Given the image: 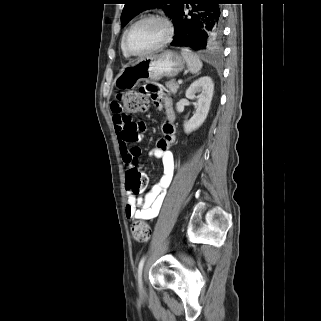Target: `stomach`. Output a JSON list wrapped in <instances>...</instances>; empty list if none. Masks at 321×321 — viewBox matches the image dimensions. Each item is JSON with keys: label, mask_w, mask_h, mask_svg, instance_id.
Here are the masks:
<instances>
[{"label": "stomach", "mask_w": 321, "mask_h": 321, "mask_svg": "<svg viewBox=\"0 0 321 321\" xmlns=\"http://www.w3.org/2000/svg\"><path fill=\"white\" fill-rule=\"evenodd\" d=\"M184 68V58L175 51L167 50L143 57L126 66L117 75L114 84L119 89H132L140 81H158L163 77H175Z\"/></svg>", "instance_id": "0dacf381"}]
</instances>
